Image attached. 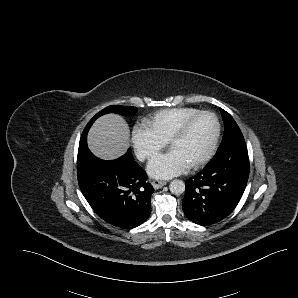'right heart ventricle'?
I'll list each match as a JSON object with an SVG mask.
<instances>
[{
  "label": "right heart ventricle",
  "instance_id": "1",
  "mask_svg": "<svg viewBox=\"0 0 298 298\" xmlns=\"http://www.w3.org/2000/svg\"><path fill=\"white\" fill-rule=\"evenodd\" d=\"M200 112L194 107H177L159 110L147 120L149 129L163 141L184 119Z\"/></svg>",
  "mask_w": 298,
  "mask_h": 298
}]
</instances>
